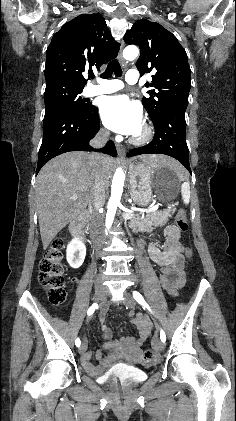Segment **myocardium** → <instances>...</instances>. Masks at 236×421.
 Wrapping results in <instances>:
<instances>
[{"mask_svg": "<svg viewBox=\"0 0 236 421\" xmlns=\"http://www.w3.org/2000/svg\"><path fill=\"white\" fill-rule=\"evenodd\" d=\"M153 137V130L151 126L147 123H144L140 133L135 134L131 137V142L136 145H143L148 143Z\"/></svg>", "mask_w": 236, "mask_h": 421, "instance_id": "1", "label": "myocardium"}]
</instances>
